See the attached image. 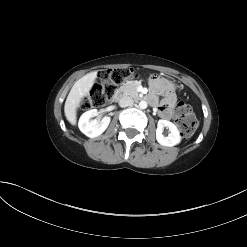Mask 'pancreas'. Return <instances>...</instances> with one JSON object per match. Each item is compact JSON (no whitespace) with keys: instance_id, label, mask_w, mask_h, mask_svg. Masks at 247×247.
I'll list each match as a JSON object with an SVG mask.
<instances>
[{"instance_id":"pancreas-1","label":"pancreas","mask_w":247,"mask_h":247,"mask_svg":"<svg viewBox=\"0 0 247 247\" xmlns=\"http://www.w3.org/2000/svg\"><path fill=\"white\" fill-rule=\"evenodd\" d=\"M137 87H138V83L129 82L121 86L120 89H123V94L130 95L134 98H138L139 93L137 91Z\"/></svg>"}]
</instances>
